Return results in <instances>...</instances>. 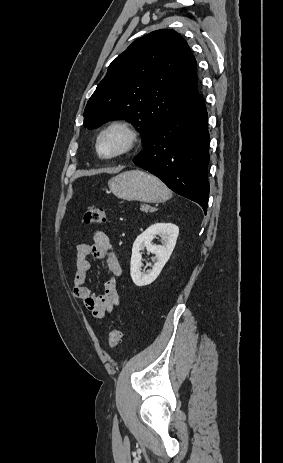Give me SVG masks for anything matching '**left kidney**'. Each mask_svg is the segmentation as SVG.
Returning <instances> with one entry per match:
<instances>
[{
  "label": "left kidney",
  "instance_id": "5707ae66",
  "mask_svg": "<svg viewBox=\"0 0 283 463\" xmlns=\"http://www.w3.org/2000/svg\"><path fill=\"white\" fill-rule=\"evenodd\" d=\"M156 235L162 238V245L152 244V240ZM178 235L179 228L175 224L156 223L151 225L136 238L132 247L130 268L131 278L136 286L142 287L149 285L159 276L175 248ZM144 248H146L148 252L154 254L156 258V262L152 266V269L146 273L141 272L142 254L140 251Z\"/></svg>",
  "mask_w": 283,
  "mask_h": 463
}]
</instances>
